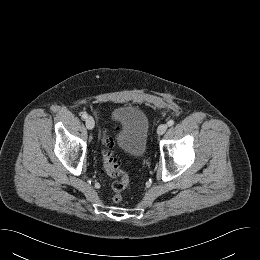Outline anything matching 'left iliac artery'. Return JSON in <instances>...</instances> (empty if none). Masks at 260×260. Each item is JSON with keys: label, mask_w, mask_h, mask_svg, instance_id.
I'll return each instance as SVG.
<instances>
[{"label": "left iliac artery", "mask_w": 260, "mask_h": 260, "mask_svg": "<svg viewBox=\"0 0 260 260\" xmlns=\"http://www.w3.org/2000/svg\"><path fill=\"white\" fill-rule=\"evenodd\" d=\"M168 126H172V125H174V121L173 120H170V121H168Z\"/></svg>", "instance_id": "left-iliac-artery-1"}]
</instances>
